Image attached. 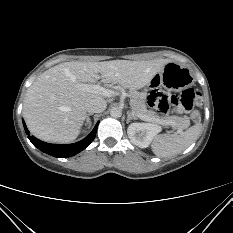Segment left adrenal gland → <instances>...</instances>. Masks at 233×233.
I'll list each match as a JSON object with an SVG mask.
<instances>
[{
	"label": "left adrenal gland",
	"instance_id": "a2214340",
	"mask_svg": "<svg viewBox=\"0 0 233 233\" xmlns=\"http://www.w3.org/2000/svg\"><path fill=\"white\" fill-rule=\"evenodd\" d=\"M137 118L132 115L131 112L127 111V124L130 122V120H136Z\"/></svg>",
	"mask_w": 233,
	"mask_h": 233
}]
</instances>
